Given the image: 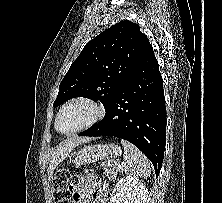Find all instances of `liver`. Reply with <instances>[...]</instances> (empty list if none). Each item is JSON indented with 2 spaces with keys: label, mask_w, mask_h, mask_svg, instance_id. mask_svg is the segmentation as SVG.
Instances as JSON below:
<instances>
[{
  "label": "liver",
  "mask_w": 222,
  "mask_h": 203,
  "mask_svg": "<svg viewBox=\"0 0 222 203\" xmlns=\"http://www.w3.org/2000/svg\"><path fill=\"white\" fill-rule=\"evenodd\" d=\"M90 138L87 137H77L69 138L62 142L60 145L56 146L51 152L50 162H49V176L52 177L55 168L69 155V153L79 144L88 142Z\"/></svg>",
  "instance_id": "1"
}]
</instances>
